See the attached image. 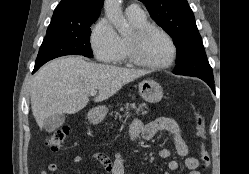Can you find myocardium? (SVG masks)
Returning a JSON list of instances; mask_svg holds the SVG:
<instances>
[{
    "instance_id": "f54148a6",
    "label": "myocardium",
    "mask_w": 249,
    "mask_h": 174,
    "mask_svg": "<svg viewBox=\"0 0 249 174\" xmlns=\"http://www.w3.org/2000/svg\"><path fill=\"white\" fill-rule=\"evenodd\" d=\"M153 32L162 34L171 44L172 56L165 63L154 64V63H150L144 60L141 57L140 50H141L142 44L145 38ZM126 51H127L129 60L133 64L143 67V68H147V69L159 70V69L168 68L175 62L178 49H177V45L173 37L166 30L153 24H146L142 27L134 29L133 32L128 36L127 41H126Z\"/></svg>"
}]
</instances>
